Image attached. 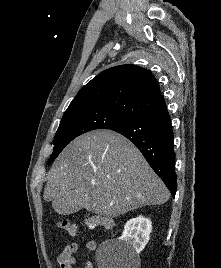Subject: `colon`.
Listing matches in <instances>:
<instances>
[{"mask_svg":"<svg viewBox=\"0 0 221 268\" xmlns=\"http://www.w3.org/2000/svg\"><path fill=\"white\" fill-rule=\"evenodd\" d=\"M57 225L59 228H61L71 236H75L77 234L78 227L75 223H72L68 220H60L58 221ZM85 226L89 231H92L97 227H101L106 230H111L114 227V222L108 217L93 215L85 219Z\"/></svg>","mask_w":221,"mask_h":268,"instance_id":"colon-1","label":"colon"}]
</instances>
